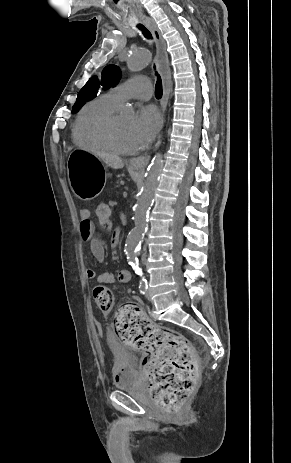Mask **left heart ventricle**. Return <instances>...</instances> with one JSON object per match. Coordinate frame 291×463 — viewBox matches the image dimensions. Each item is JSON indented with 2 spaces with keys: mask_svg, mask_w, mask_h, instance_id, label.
Returning <instances> with one entry per match:
<instances>
[{
  "mask_svg": "<svg viewBox=\"0 0 291 463\" xmlns=\"http://www.w3.org/2000/svg\"><path fill=\"white\" fill-rule=\"evenodd\" d=\"M132 119L124 116H117L116 120V140L119 145L126 149H135L137 144L131 133Z\"/></svg>",
  "mask_w": 291,
  "mask_h": 463,
  "instance_id": "obj_1",
  "label": "left heart ventricle"
}]
</instances>
